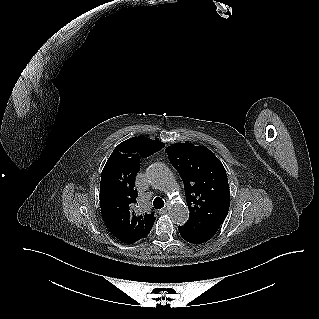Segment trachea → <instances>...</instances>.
<instances>
[{
	"instance_id": "3493384b",
	"label": "trachea",
	"mask_w": 319,
	"mask_h": 319,
	"mask_svg": "<svg viewBox=\"0 0 319 319\" xmlns=\"http://www.w3.org/2000/svg\"><path fill=\"white\" fill-rule=\"evenodd\" d=\"M153 206L155 209H161L164 207V201L160 197H156L153 201Z\"/></svg>"
}]
</instances>
